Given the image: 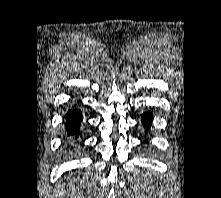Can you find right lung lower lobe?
I'll use <instances>...</instances> for the list:
<instances>
[{
	"mask_svg": "<svg viewBox=\"0 0 221 198\" xmlns=\"http://www.w3.org/2000/svg\"><path fill=\"white\" fill-rule=\"evenodd\" d=\"M66 125L65 128L69 135H74L77 138L80 134L79 126L81 125L82 117L80 111L77 109L69 110L65 115Z\"/></svg>",
	"mask_w": 221,
	"mask_h": 198,
	"instance_id": "obj_1",
	"label": "right lung lower lobe"
}]
</instances>
